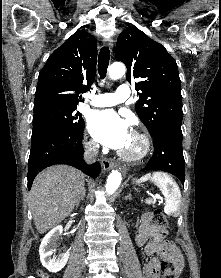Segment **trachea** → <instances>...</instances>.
I'll use <instances>...</instances> for the list:
<instances>
[{"instance_id": "obj_1", "label": "trachea", "mask_w": 221, "mask_h": 278, "mask_svg": "<svg viewBox=\"0 0 221 278\" xmlns=\"http://www.w3.org/2000/svg\"><path fill=\"white\" fill-rule=\"evenodd\" d=\"M110 50L108 47H103L98 56V72L101 79L106 77L107 68L109 65Z\"/></svg>"}]
</instances>
